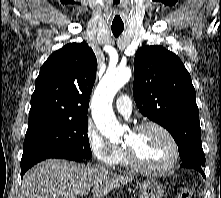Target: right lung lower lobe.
Returning a JSON list of instances; mask_svg holds the SVG:
<instances>
[{"instance_id":"1","label":"right lung lower lobe","mask_w":221,"mask_h":198,"mask_svg":"<svg viewBox=\"0 0 221 198\" xmlns=\"http://www.w3.org/2000/svg\"><path fill=\"white\" fill-rule=\"evenodd\" d=\"M48 158H59V159H68V160H73V161H83L85 160L84 157H81L79 155L76 154H72V153H67V152H53V153H48L45 155H42L34 160H32L31 162H29L26 165L21 166V177H23L24 173L31 168L33 165H35L36 163L48 159Z\"/></svg>"}]
</instances>
